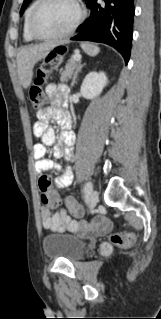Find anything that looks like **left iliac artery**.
Returning a JSON list of instances; mask_svg holds the SVG:
<instances>
[{"label": "left iliac artery", "instance_id": "1", "mask_svg": "<svg viewBox=\"0 0 161 319\" xmlns=\"http://www.w3.org/2000/svg\"><path fill=\"white\" fill-rule=\"evenodd\" d=\"M92 189H93V185L90 181H88L84 186L83 192L87 194V193H90Z\"/></svg>", "mask_w": 161, "mask_h": 319}]
</instances>
